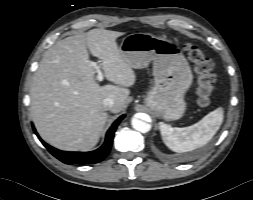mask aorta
Wrapping results in <instances>:
<instances>
[{
    "instance_id": "762f6f07",
    "label": "aorta",
    "mask_w": 253,
    "mask_h": 200,
    "mask_svg": "<svg viewBox=\"0 0 253 200\" xmlns=\"http://www.w3.org/2000/svg\"><path fill=\"white\" fill-rule=\"evenodd\" d=\"M132 127L141 133H147L151 129V125L149 123L137 118L132 119Z\"/></svg>"
}]
</instances>
